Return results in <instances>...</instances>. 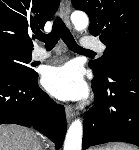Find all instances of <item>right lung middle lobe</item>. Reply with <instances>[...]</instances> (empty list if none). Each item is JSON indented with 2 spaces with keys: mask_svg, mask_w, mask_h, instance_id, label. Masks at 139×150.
<instances>
[{
  "mask_svg": "<svg viewBox=\"0 0 139 150\" xmlns=\"http://www.w3.org/2000/svg\"><path fill=\"white\" fill-rule=\"evenodd\" d=\"M31 52L0 46V71H9L24 77H33L36 72L30 68Z\"/></svg>",
  "mask_w": 139,
  "mask_h": 150,
  "instance_id": "1",
  "label": "right lung middle lobe"
}]
</instances>
